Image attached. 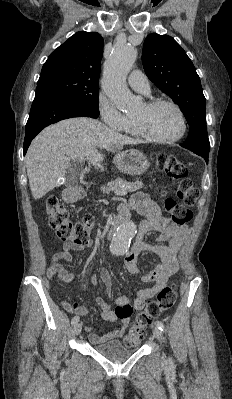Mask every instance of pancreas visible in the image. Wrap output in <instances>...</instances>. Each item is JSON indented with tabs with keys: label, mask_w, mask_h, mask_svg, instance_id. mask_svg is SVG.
<instances>
[{
	"label": "pancreas",
	"mask_w": 232,
	"mask_h": 399,
	"mask_svg": "<svg viewBox=\"0 0 232 399\" xmlns=\"http://www.w3.org/2000/svg\"><path fill=\"white\" fill-rule=\"evenodd\" d=\"M143 188V182H126V180H111L108 182L107 186H102L101 190L103 194H110V192H136V190H141Z\"/></svg>",
	"instance_id": "obj_1"
}]
</instances>
